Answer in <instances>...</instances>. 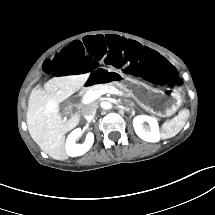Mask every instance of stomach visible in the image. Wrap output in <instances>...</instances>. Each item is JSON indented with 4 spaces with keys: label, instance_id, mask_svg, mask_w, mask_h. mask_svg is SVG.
I'll return each mask as SVG.
<instances>
[{
    "label": "stomach",
    "instance_id": "1",
    "mask_svg": "<svg viewBox=\"0 0 215 215\" xmlns=\"http://www.w3.org/2000/svg\"><path fill=\"white\" fill-rule=\"evenodd\" d=\"M120 87L139 104L158 114H171L179 108L182 102L180 94L176 91L167 94L163 90L149 89L145 85L133 80L121 83Z\"/></svg>",
    "mask_w": 215,
    "mask_h": 215
}]
</instances>
